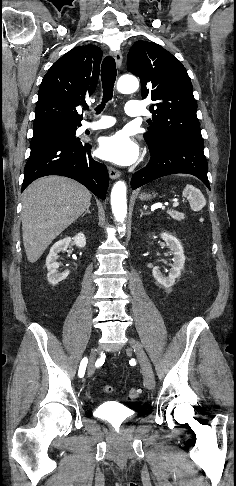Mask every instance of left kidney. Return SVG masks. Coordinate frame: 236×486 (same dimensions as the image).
<instances>
[{"instance_id":"left-kidney-1","label":"left kidney","mask_w":236,"mask_h":486,"mask_svg":"<svg viewBox=\"0 0 236 486\" xmlns=\"http://www.w3.org/2000/svg\"><path fill=\"white\" fill-rule=\"evenodd\" d=\"M160 236L173 254V264L171 265L168 276L163 275L159 267H154L152 274L158 283L169 288L174 285L176 278L180 276L181 270L184 268L185 256L183 247L175 236L168 233H162Z\"/></svg>"}]
</instances>
